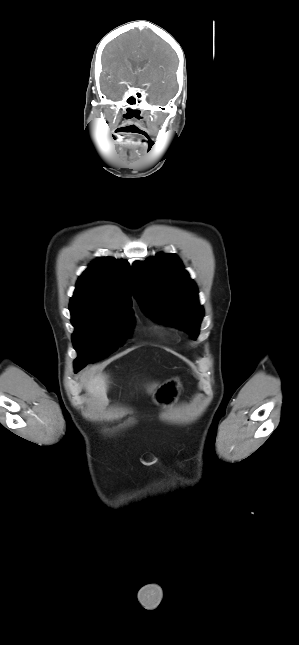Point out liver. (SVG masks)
Here are the masks:
<instances>
[{"instance_id": "1", "label": "liver", "mask_w": 299, "mask_h": 645, "mask_svg": "<svg viewBox=\"0 0 299 645\" xmlns=\"http://www.w3.org/2000/svg\"><path fill=\"white\" fill-rule=\"evenodd\" d=\"M155 387L152 386L149 391L152 392ZM85 389L99 409L107 405L108 377L105 374L92 376L86 381Z\"/></svg>"}]
</instances>
